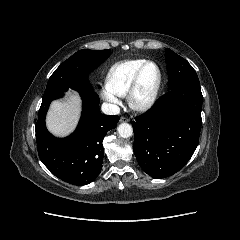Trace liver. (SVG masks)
Segmentation results:
<instances>
[{"label":"liver","mask_w":240,"mask_h":240,"mask_svg":"<svg viewBox=\"0 0 240 240\" xmlns=\"http://www.w3.org/2000/svg\"><path fill=\"white\" fill-rule=\"evenodd\" d=\"M81 102L78 95L71 91L65 101H54L47 114L48 130L57 137L69 135L76 127Z\"/></svg>","instance_id":"obj_1"}]
</instances>
